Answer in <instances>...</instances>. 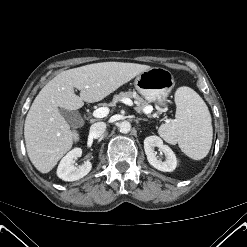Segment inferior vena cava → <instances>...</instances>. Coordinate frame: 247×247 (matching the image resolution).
Segmentation results:
<instances>
[{"label": "inferior vena cava", "instance_id": "inferior-vena-cava-1", "mask_svg": "<svg viewBox=\"0 0 247 247\" xmlns=\"http://www.w3.org/2000/svg\"><path fill=\"white\" fill-rule=\"evenodd\" d=\"M106 130V124L104 122H96L90 127V136L92 138H99Z\"/></svg>", "mask_w": 247, "mask_h": 247}]
</instances>
